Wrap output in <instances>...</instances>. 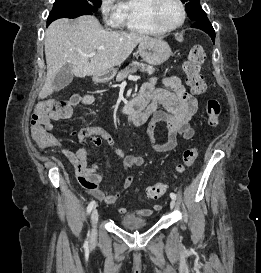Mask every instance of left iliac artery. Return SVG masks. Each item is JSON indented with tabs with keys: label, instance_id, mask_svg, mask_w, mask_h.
Segmentation results:
<instances>
[{
	"label": "left iliac artery",
	"instance_id": "44dca946",
	"mask_svg": "<svg viewBox=\"0 0 261 273\" xmlns=\"http://www.w3.org/2000/svg\"><path fill=\"white\" fill-rule=\"evenodd\" d=\"M170 197L175 200L176 199V194L175 193H170Z\"/></svg>",
	"mask_w": 261,
	"mask_h": 273
}]
</instances>
